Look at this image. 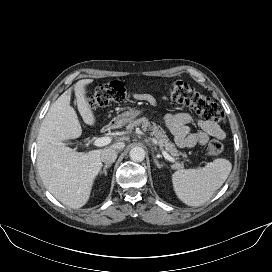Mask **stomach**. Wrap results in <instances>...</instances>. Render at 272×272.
<instances>
[{"mask_svg":"<svg viewBox=\"0 0 272 272\" xmlns=\"http://www.w3.org/2000/svg\"><path fill=\"white\" fill-rule=\"evenodd\" d=\"M143 110H130L122 113L121 115L115 117L111 123L110 126L112 127H121L133 119H135L138 115L142 114Z\"/></svg>","mask_w":272,"mask_h":272,"instance_id":"1","label":"stomach"}]
</instances>
